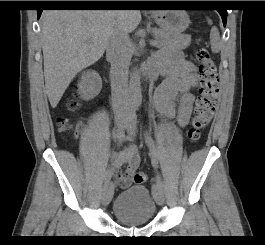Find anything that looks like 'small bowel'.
<instances>
[{
    "instance_id": "1",
    "label": "small bowel",
    "mask_w": 265,
    "mask_h": 245,
    "mask_svg": "<svg viewBox=\"0 0 265 245\" xmlns=\"http://www.w3.org/2000/svg\"><path fill=\"white\" fill-rule=\"evenodd\" d=\"M148 65L166 75L164 83L154 95L156 109L166 119L172 118L177 112L178 124L181 127L187 126L195 102V96L190 92L197 84L195 67L179 54L154 57ZM139 163L140 156L136 145L126 146L119 154L112 150L108 175L120 187L126 188L132 185Z\"/></svg>"
}]
</instances>
